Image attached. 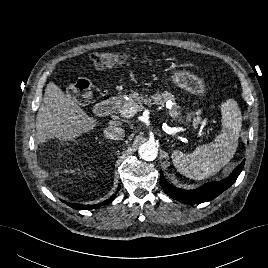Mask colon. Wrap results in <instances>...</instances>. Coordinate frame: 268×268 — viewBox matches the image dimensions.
I'll list each match as a JSON object with an SVG mask.
<instances>
[{"mask_svg": "<svg viewBox=\"0 0 268 268\" xmlns=\"http://www.w3.org/2000/svg\"><path fill=\"white\" fill-rule=\"evenodd\" d=\"M127 55L122 52H96L91 55V62L97 69H108L122 65ZM68 96L76 104L86 103L91 96V85L86 78H79L68 88Z\"/></svg>", "mask_w": 268, "mask_h": 268, "instance_id": "obj_1", "label": "colon"}]
</instances>
